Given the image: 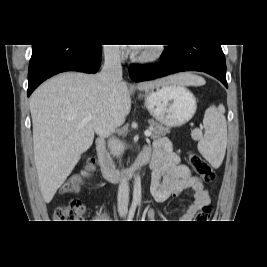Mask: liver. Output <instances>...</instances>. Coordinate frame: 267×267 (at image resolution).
I'll return each instance as SVG.
<instances>
[{
  "mask_svg": "<svg viewBox=\"0 0 267 267\" xmlns=\"http://www.w3.org/2000/svg\"><path fill=\"white\" fill-rule=\"evenodd\" d=\"M205 80L192 73H179L137 85L148 90L161 84L201 86ZM131 110L126 83L110 86L99 75L62 73L43 83L30 98L33 147L42 196L49 203L58 188L92 145L94 134L105 137L125 122ZM94 116L84 126L79 123Z\"/></svg>",
  "mask_w": 267,
  "mask_h": 267,
  "instance_id": "6515ba94",
  "label": "liver"
}]
</instances>
